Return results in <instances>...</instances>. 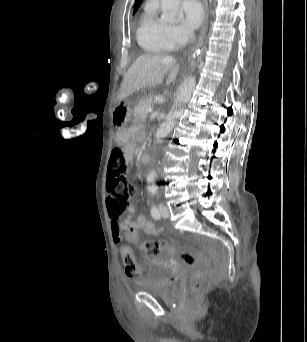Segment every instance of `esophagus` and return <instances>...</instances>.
<instances>
[{"mask_svg": "<svg viewBox=\"0 0 307 342\" xmlns=\"http://www.w3.org/2000/svg\"><path fill=\"white\" fill-rule=\"evenodd\" d=\"M203 4H204V14H205V18L203 21V25H202V31L200 33L198 42L196 47H194L191 51L195 52V50L197 48H199L200 46H204L205 45V30L207 28V24H208V0H203Z\"/></svg>", "mask_w": 307, "mask_h": 342, "instance_id": "obj_1", "label": "esophagus"}]
</instances>
